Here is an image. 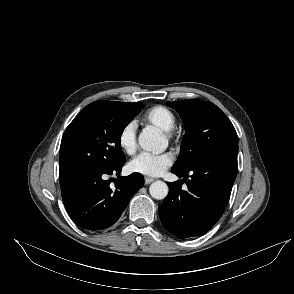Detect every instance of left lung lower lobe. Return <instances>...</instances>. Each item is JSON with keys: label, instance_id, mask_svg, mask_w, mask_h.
<instances>
[{"label": "left lung lower lobe", "instance_id": "1", "mask_svg": "<svg viewBox=\"0 0 294 294\" xmlns=\"http://www.w3.org/2000/svg\"><path fill=\"white\" fill-rule=\"evenodd\" d=\"M237 152L238 145H226L189 171L171 169L185 179L167 183L169 194L159 206L161 222L170 233L180 238L200 236L220 219L237 175ZM183 182L186 191L181 189Z\"/></svg>", "mask_w": 294, "mask_h": 294}]
</instances>
